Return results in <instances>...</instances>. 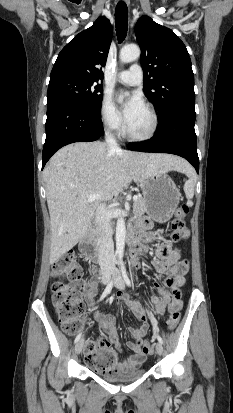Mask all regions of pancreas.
Listing matches in <instances>:
<instances>
[{"label":"pancreas","mask_w":233,"mask_h":413,"mask_svg":"<svg viewBox=\"0 0 233 413\" xmlns=\"http://www.w3.org/2000/svg\"><path fill=\"white\" fill-rule=\"evenodd\" d=\"M147 211V203L143 197H139L133 204V213L135 216H141Z\"/></svg>","instance_id":"pancreas-1"}]
</instances>
